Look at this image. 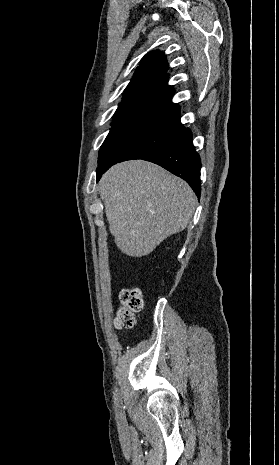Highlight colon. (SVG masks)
I'll return each mask as SVG.
<instances>
[{
  "instance_id": "1",
  "label": "colon",
  "mask_w": 279,
  "mask_h": 465,
  "mask_svg": "<svg viewBox=\"0 0 279 465\" xmlns=\"http://www.w3.org/2000/svg\"><path fill=\"white\" fill-rule=\"evenodd\" d=\"M120 305L115 317L119 329H129L135 324V314L143 308V296L139 288L125 289L119 296Z\"/></svg>"
}]
</instances>
